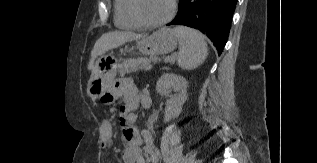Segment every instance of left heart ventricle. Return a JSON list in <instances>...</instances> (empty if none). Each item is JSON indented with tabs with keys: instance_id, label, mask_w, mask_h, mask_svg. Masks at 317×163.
<instances>
[{
	"instance_id": "left-heart-ventricle-1",
	"label": "left heart ventricle",
	"mask_w": 317,
	"mask_h": 163,
	"mask_svg": "<svg viewBox=\"0 0 317 163\" xmlns=\"http://www.w3.org/2000/svg\"><path fill=\"white\" fill-rule=\"evenodd\" d=\"M138 7L145 20L156 22L168 15L171 9V0H139Z\"/></svg>"
}]
</instances>
